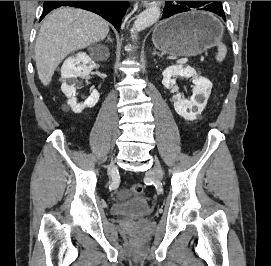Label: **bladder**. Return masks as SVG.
I'll use <instances>...</instances> for the list:
<instances>
[{"mask_svg": "<svg viewBox=\"0 0 271 266\" xmlns=\"http://www.w3.org/2000/svg\"><path fill=\"white\" fill-rule=\"evenodd\" d=\"M112 212L129 220H137L150 214L152 207L144 199H134L126 203H115Z\"/></svg>", "mask_w": 271, "mask_h": 266, "instance_id": "obj_1", "label": "bladder"}]
</instances>
